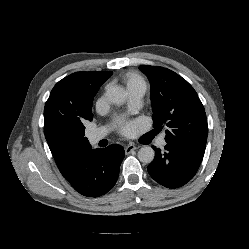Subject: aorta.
Masks as SVG:
<instances>
[{"mask_svg":"<svg viewBox=\"0 0 249 249\" xmlns=\"http://www.w3.org/2000/svg\"><path fill=\"white\" fill-rule=\"evenodd\" d=\"M106 98L113 104H122L126 100V92L119 86H111L106 90ZM155 152L150 146H143L138 151V159L143 163H151Z\"/></svg>","mask_w":249,"mask_h":249,"instance_id":"obj_1","label":"aorta"}]
</instances>
